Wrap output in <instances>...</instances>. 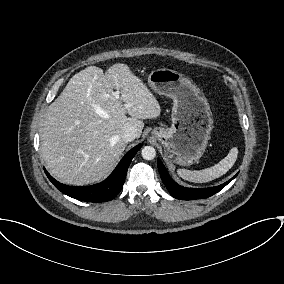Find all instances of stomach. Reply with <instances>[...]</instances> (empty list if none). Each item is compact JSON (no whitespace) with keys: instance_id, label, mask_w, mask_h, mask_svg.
I'll return each mask as SVG.
<instances>
[{"instance_id":"stomach-1","label":"stomach","mask_w":284,"mask_h":284,"mask_svg":"<svg viewBox=\"0 0 284 284\" xmlns=\"http://www.w3.org/2000/svg\"><path fill=\"white\" fill-rule=\"evenodd\" d=\"M148 83L156 93L173 100L171 127H155L153 137L163 145L168 160L192 165L205 152L213 129L206 97L191 78L171 69L152 71Z\"/></svg>"}]
</instances>
